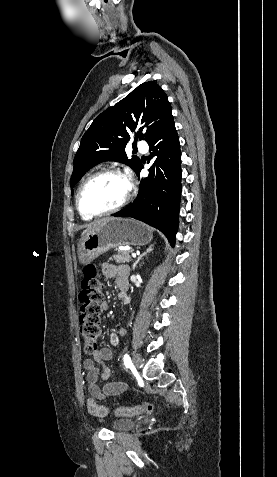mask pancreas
<instances>
[{
    "label": "pancreas",
    "instance_id": "1",
    "mask_svg": "<svg viewBox=\"0 0 277 477\" xmlns=\"http://www.w3.org/2000/svg\"><path fill=\"white\" fill-rule=\"evenodd\" d=\"M131 252H132L131 250L118 251L117 254L113 255V257L111 258V260H114V261H116L117 263L129 262V261L132 260L131 255H130Z\"/></svg>",
    "mask_w": 277,
    "mask_h": 477
}]
</instances>
